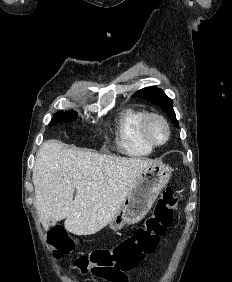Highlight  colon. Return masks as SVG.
<instances>
[{
  "instance_id": "5ec220e1",
  "label": "colon",
  "mask_w": 232,
  "mask_h": 282,
  "mask_svg": "<svg viewBox=\"0 0 232 282\" xmlns=\"http://www.w3.org/2000/svg\"><path fill=\"white\" fill-rule=\"evenodd\" d=\"M178 204L176 191L165 187L154 208L141 227L110 249H97L87 255L78 256L73 268L83 275L105 277L116 270L129 271L137 267L146 256L152 254L172 221ZM49 244L53 258L59 259L75 246V240L60 226L49 232Z\"/></svg>"
}]
</instances>
